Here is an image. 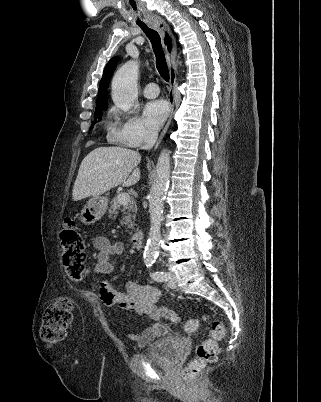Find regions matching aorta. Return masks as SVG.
<instances>
[{
    "mask_svg": "<svg viewBox=\"0 0 321 402\" xmlns=\"http://www.w3.org/2000/svg\"><path fill=\"white\" fill-rule=\"evenodd\" d=\"M139 64L135 60L126 62L112 80V100L114 104L129 111L137 99V79ZM170 151L163 149L158 157L156 177L149 193L150 231L144 250V263L150 267L158 255L161 242V222L163 219V201L169 186Z\"/></svg>",
    "mask_w": 321,
    "mask_h": 402,
    "instance_id": "1",
    "label": "aorta"
}]
</instances>
